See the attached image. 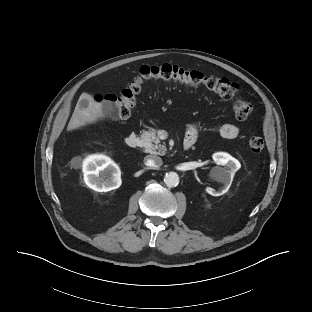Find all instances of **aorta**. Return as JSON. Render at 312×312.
<instances>
[{
	"label": "aorta",
	"mask_w": 312,
	"mask_h": 312,
	"mask_svg": "<svg viewBox=\"0 0 312 312\" xmlns=\"http://www.w3.org/2000/svg\"><path fill=\"white\" fill-rule=\"evenodd\" d=\"M164 182L168 187H175L179 184V176L176 172L166 173Z\"/></svg>",
	"instance_id": "obj_1"
}]
</instances>
